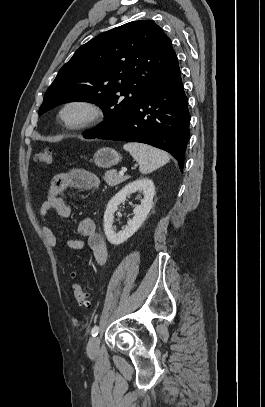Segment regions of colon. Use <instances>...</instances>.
I'll return each mask as SVG.
<instances>
[{"instance_id": "5ec220e1", "label": "colon", "mask_w": 265, "mask_h": 407, "mask_svg": "<svg viewBox=\"0 0 265 407\" xmlns=\"http://www.w3.org/2000/svg\"><path fill=\"white\" fill-rule=\"evenodd\" d=\"M34 161L39 164H51L53 161V152L51 149H43L39 151L35 157ZM74 278H77V273L74 272L73 274ZM73 293H74V299L76 303L84 308V309H89L91 307V303L89 301V294L86 289V287L83 285L82 282L79 280H75L73 284Z\"/></svg>"}]
</instances>
